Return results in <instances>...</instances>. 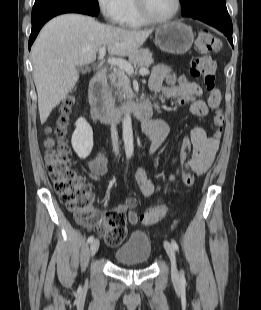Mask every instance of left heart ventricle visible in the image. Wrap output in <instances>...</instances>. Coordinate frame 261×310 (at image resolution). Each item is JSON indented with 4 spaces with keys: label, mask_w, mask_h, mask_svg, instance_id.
<instances>
[{
    "label": "left heart ventricle",
    "mask_w": 261,
    "mask_h": 310,
    "mask_svg": "<svg viewBox=\"0 0 261 310\" xmlns=\"http://www.w3.org/2000/svg\"><path fill=\"white\" fill-rule=\"evenodd\" d=\"M149 13L155 18L169 16L175 9V0H145Z\"/></svg>",
    "instance_id": "left-heart-ventricle-1"
}]
</instances>
